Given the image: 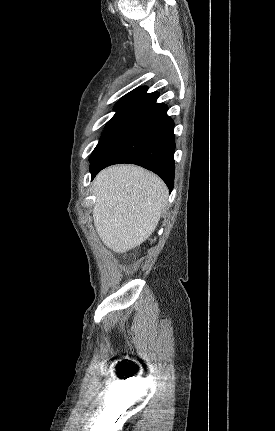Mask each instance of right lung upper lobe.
<instances>
[{
  "instance_id": "cb5924a9",
  "label": "right lung upper lobe",
  "mask_w": 275,
  "mask_h": 431,
  "mask_svg": "<svg viewBox=\"0 0 275 431\" xmlns=\"http://www.w3.org/2000/svg\"><path fill=\"white\" fill-rule=\"evenodd\" d=\"M147 87H138L122 97L114 106L116 112L137 113L139 110L156 102L159 93H147Z\"/></svg>"
}]
</instances>
